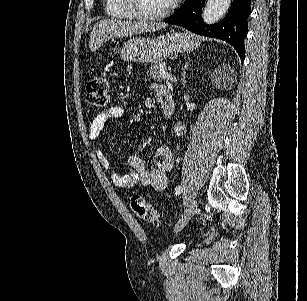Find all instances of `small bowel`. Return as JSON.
I'll use <instances>...</instances> for the list:
<instances>
[{
	"instance_id": "obj_1",
	"label": "small bowel",
	"mask_w": 307,
	"mask_h": 301,
	"mask_svg": "<svg viewBox=\"0 0 307 301\" xmlns=\"http://www.w3.org/2000/svg\"><path fill=\"white\" fill-rule=\"evenodd\" d=\"M157 95L161 94L166 88L158 86L155 88ZM126 105L119 104L109 107L99 113L91 122L89 129V138L91 141H98L99 137L107 122L122 117L126 112ZM96 157L105 169L110 168V162L105 152L102 149L96 150ZM127 163L132 169L131 172L120 175L117 173L111 174L113 184L122 190L130 189L137 184H142L151 187L155 191H164L168 184L167 173L174 165L172 151L168 147H160L155 154L156 167L148 169L143 160L135 153H132L127 158Z\"/></svg>"
}]
</instances>
